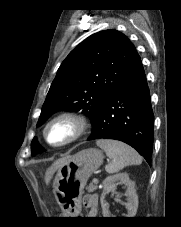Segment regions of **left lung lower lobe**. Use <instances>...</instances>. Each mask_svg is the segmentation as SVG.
<instances>
[{
    "label": "left lung lower lobe",
    "mask_w": 181,
    "mask_h": 227,
    "mask_svg": "<svg viewBox=\"0 0 181 227\" xmlns=\"http://www.w3.org/2000/svg\"><path fill=\"white\" fill-rule=\"evenodd\" d=\"M153 134L154 114L138 55L103 106L88 140L105 138L123 141L136 149L150 164Z\"/></svg>",
    "instance_id": "left-lung-lower-lobe-1"
}]
</instances>
